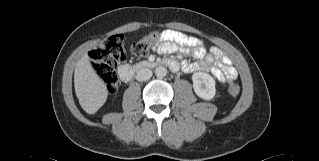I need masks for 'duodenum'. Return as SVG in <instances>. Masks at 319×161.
Listing matches in <instances>:
<instances>
[{"mask_svg": "<svg viewBox=\"0 0 319 161\" xmlns=\"http://www.w3.org/2000/svg\"><path fill=\"white\" fill-rule=\"evenodd\" d=\"M165 66L168 67L172 72H176L179 69L178 63L172 59H165L163 61H144L135 65H122L118 69V74L123 82L130 81L136 72L142 70H150L155 67Z\"/></svg>", "mask_w": 319, "mask_h": 161, "instance_id": "obj_1", "label": "duodenum"}]
</instances>
